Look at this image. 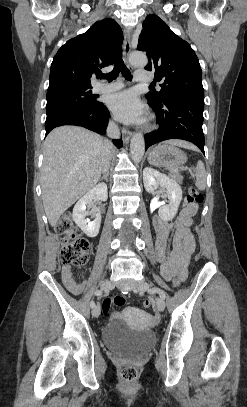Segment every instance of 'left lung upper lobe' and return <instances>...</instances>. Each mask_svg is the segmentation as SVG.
Instances as JSON below:
<instances>
[{
  "label": "left lung upper lobe",
  "instance_id": "5c2ea615",
  "mask_svg": "<svg viewBox=\"0 0 247 407\" xmlns=\"http://www.w3.org/2000/svg\"><path fill=\"white\" fill-rule=\"evenodd\" d=\"M148 56V71H155L161 90L148 92L149 104L161 106L173 96L204 99L201 68L190 45L173 33L158 16L148 15L138 40Z\"/></svg>",
  "mask_w": 247,
  "mask_h": 407
}]
</instances>
